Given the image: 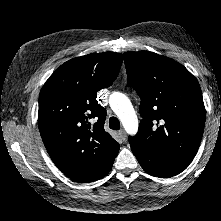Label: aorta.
<instances>
[{"mask_svg": "<svg viewBox=\"0 0 221 221\" xmlns=\"http://www.w3.org/2000/svg\"><path fill=\"white\" fill-rule=\"evenodd\" d=\"M109 105L118 116L128 134L138 131V119L129 98L121 92H113L109 97Z\"/></svg>", "mask_w": 221, "mask_h": 221, "instance_id": "obj_1", "label": "aorta"}]
</instances>
